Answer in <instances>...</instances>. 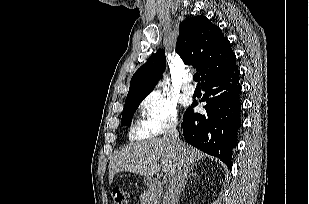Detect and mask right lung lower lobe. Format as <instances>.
Masks as SVG:
<instances>
[{
  "instance_id": "obj_1",
  "label": "right lung lower lobe",
  "mask_w": 309,
  "mask_h": 204,
  "mask_svg": "<svg viewBox=\"0 0 309 204\" xmlns=\"http://www.w3.org/2000/svg\"><path fill=\"white\" fill-rule=\"evenodd\" d=\"M236 64L202 83L201 101L206 114L194 113L193 103L183 116L181 127L186 141L203 152L220 158L231 167L232 149L241 126V84Z\"/></svg>"
}]
</instances>
